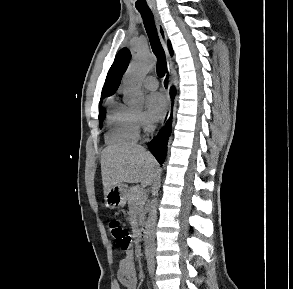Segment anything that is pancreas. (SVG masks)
Returning <instances> with one entry per match:
<instances>
[{
    "instance_id": "cf45deb5",
    "label": "pancreas",
    "mask_w": 293,
    "mask_h": 289,
    "mask_svg": "<svg viewBox=\"0 0 293 289\" xmlns=\"http://www.w3.org/2000/svg\"><path fill=\"white\" fill-rule=\"evenodd\" d=\"M128 206L130 211H135L138 215L137 222L141 224L144 219L143 205L145 197L139 187H132L128 190L127 194Z\"/></svg>"
}]
</instances>
